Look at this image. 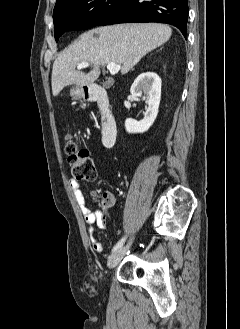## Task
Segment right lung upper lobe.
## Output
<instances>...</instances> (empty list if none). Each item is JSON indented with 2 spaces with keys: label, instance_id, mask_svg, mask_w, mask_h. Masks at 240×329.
Wrapping results in <instances>:
<instances>
[{
  "label": "right lung upper lobe",
  "instance_id": "1",
  "mask_svg": "<svg viewBox=\"0 0 240 329\" xmlns=\"http://www.w3.org/2000/svg\"><path fill=\"white\" fill-rule=\"evenodd\" d=\"M67 1H69V0H57L54 9L59 8L60 6H62L63 4H65Z\"/></svg>",
  "mask_w": 240,
  "mask_h": 329
}]
</instances>
